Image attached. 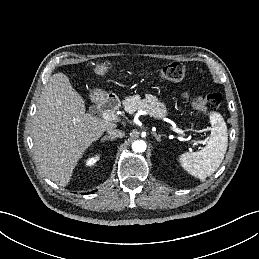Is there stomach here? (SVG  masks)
Instances as JSON below:
<instances>
[{"instance_id": "obj_1", "label": "stomach", "mask_w": 259, "mask_h": 259, "mask_svg": "<svg viewBox=\"0 0 259 259\" xmlns=\"http://www.w3.org/2000/svg\"><path fill=\"white\" fill-rule=\"evenodd\" d=\"M112 67L107 63H100L97 64L94 68V72L98 76H104L108 71H110ZM97 93V90L95 91Z\"/></svg>"}]
</instances>
